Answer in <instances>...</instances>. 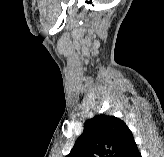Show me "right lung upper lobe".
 I'll return each instance as SVG.
<instances>
[{
    "label": "right lung upper lobe",
    "mask_w": 164,
    "mask_h": 157,
    "mask_svg": "<svg viewBox=\"0 0 164 157\" xmlns=\"http://www.w3.org/2000/svg\"><path fill=\"white\" fill-rule=\"evenodd\" d=\"M133 140L121 119L101 114L86 122L82 135L65 157H120Z\"/></svg>",
    "instance_id": "obj_1"
}]
</instances>
